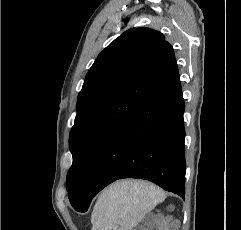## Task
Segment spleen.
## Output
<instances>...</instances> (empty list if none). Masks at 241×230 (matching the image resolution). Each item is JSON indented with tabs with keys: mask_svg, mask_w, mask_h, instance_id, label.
I'll use <instances>...</instances> for the list:
<instances>
[{
	"mask_svg": "<svg viewBox=\"0 0 241 230\" xmlns=\"http://www.w3.org/2000/svg\"><path fill=\"white\" fill-rule=\"evenodd\" d=\"M165 199L157 186L137 180H123L106 188L93 208L92 230H132L157 204Z\"/></svg>",
	"mask_w": 241,
	"mask_h": 230,
	"instance_id": "1",
	"label": "spleen"
}]
</instances>
